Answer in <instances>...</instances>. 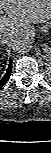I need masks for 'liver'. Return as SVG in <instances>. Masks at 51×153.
I'll return each mask as SVG.
<instances>
[{
	"label": "liver",
	"mask_w": 51,
	"mask_h": 153,
	"mask_svg": "<svg viewBox=\"0 0 51 153\" xmlns=\"http://www.w3.org/2000/svg\"><path fill=\"white\" fill-rule=\"evenodd\" d=\"M0 14V35L11 34L14 39L30 24L50 20L51 0H0Z\"/></svg>",
	"instance_id": "liver-1"
}]
</instances>
